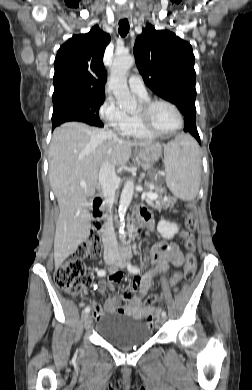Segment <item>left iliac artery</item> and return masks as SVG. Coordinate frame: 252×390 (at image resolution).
I'll return each instance as SVG.
<instances>
[{"label":"left iliac artery","instance_id":"44dca946","mask_svg":"<svg viewBox=\"0 0 252 390\" xmlns=\"http://www.w3.org/2000/svg\"><path fill=\"white\" fill-rule=\"evenodd\" d=\"M128 270H129V272H131L133 274H137V273L140 272L139 268H137L136 266L131 265L130 263H128ZM162 316H166V312L165 311H162Z\"/></svg>","mask_w":252,"mask_h":390}]
</instances>
